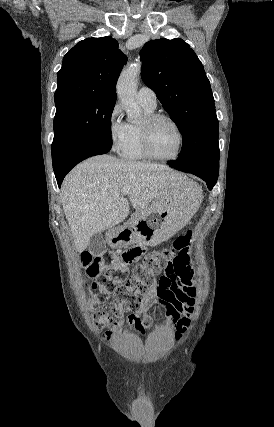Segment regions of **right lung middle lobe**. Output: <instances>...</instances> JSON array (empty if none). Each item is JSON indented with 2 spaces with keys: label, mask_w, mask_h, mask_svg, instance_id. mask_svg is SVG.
I'll return each mask as SVG.
<instances>
[{
  "label": "right lung middle lobe",
  "mask_w": 274,
  "mask_h": 427,
  "mask_svg": "<svg viewBox=\"0 0 274 427\" xmlns=\"http://www.w3.org/2000/svg\"><path fill=\"white\" fill-rule=\"evenodd\" d=\"M116 98L91 96L56 105L51 148L53 167L89 144L111 143V115Z\"/></svg>",
  "instance_id": "right-lung-middle-lobe-1"
}]
</instances>
